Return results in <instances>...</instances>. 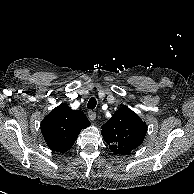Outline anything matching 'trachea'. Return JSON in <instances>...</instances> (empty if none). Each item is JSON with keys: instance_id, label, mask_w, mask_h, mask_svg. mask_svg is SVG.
Returning a JSON list of instances; mask_svg holds the SVG:
<instances>
[{"instance_id": "3493384b", "label": "trachea", "mask_w": 194, "mask_h": 194, "mask_svg": "<svg viewBox=\"0 0 194 194\" xmlns=\"http://www.w3.org/2000/svg\"><path fill=\"white\" fill-rule=\"evenodd\" d=\"M97 101L95 97H91L90 100L88 101L87 108L88 109H94L96 107Z\"/></svg>"}]
</instances>
